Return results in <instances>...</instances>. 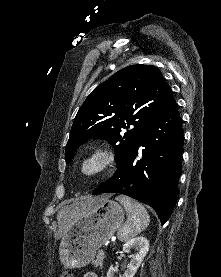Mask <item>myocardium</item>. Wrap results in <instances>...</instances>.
I'll list each match as a JSON object with an SVG mask.
<instances>
[{
	"label": "myocardium",
	"mask_w": 221,
	"mask_h": 277,
	"mask_svg": "<svg viewBox=\"0 0 221 277\" xmlns=\"http://www.w3.org/2000/svg\"><path fill=\"white\" fill-rule=\"evenodd\" d=\"M114 158L111 150L95 148L82 158L79 164V173L85 178L96 177L111 167Z\"/></svg>",
	"instance_id": "1"
}]
</instances>
